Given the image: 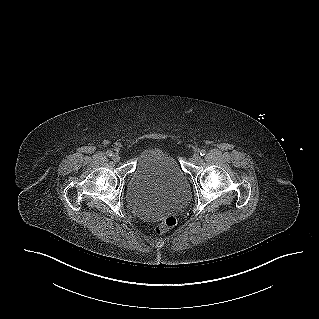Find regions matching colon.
Returning <instances> with one entry per match:
<instances>
[{
    "label": "colon",
    "instance_id": "colon-1",
    "mask_svg": "<svg viewBox=\"0 0 319 319\" xmlns=\"http://www.w3.org/2000/svg\"><path fill=\"white\" fill-rule=\"evenodd\" d=\"M177 223V219L174 215H169L165 217L161 222L156 226L155 230L158 234L165 233L166 231L173 228Z\"/></svg>",
    "mask_w": 319,
    "mask_h": 319
}]
</instances>
